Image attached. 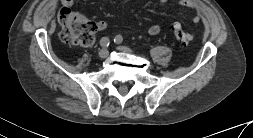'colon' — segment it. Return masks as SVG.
Wrapping results in <instances>:
<instances>
[{"instance_id": "colon-1", "label": "colon", "mask_w": 253, "mask_h": 138, "mask_svg": "<svg viewBox=\"0 0 253 138\" xmlns=\"http://www.w3.org/2000/svg\"><path fill=\"white\" fill-rule=\"evenodd\" d=\"M58 20L61 25L60 37L64 43L89 46L94 42L96 26L93 21L67 7L59 11ZM173 32L176 39L182 44H188L193 40V35L185 32L179 25L173 26Z\"/></svg>"}]
</instances>
